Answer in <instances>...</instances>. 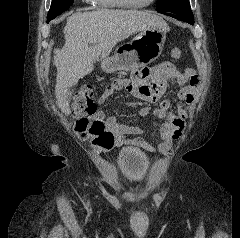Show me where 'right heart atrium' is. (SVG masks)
<instances>
[{
    "label": "right heart atrium",
    "mask_w": 240,
    "mask_h": 238,
    "mask_svg": "<svg viewBox=\"0 0 240 238\" xmlns=\"http://www.w3.org/2000/svg\"><path fill=\"white\" fill-rule=\"evenodd\" d=\"M84 2H87V3H90L92 2L93 0H83Z\"/></svg>",
    "instance_id": "1"
}]
</instances>
